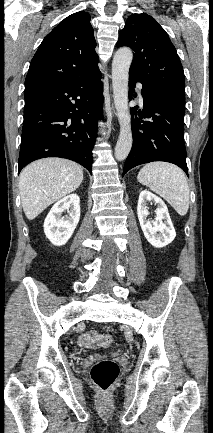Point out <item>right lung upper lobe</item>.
<instances>
[{"label": "right lung upper lobe", "mask_w": 213, "mask_h": 433, "mask_svg": "<svg viewBox=\"0 0 213 433\" xmlns=\"http://www.w3.org/2000/svg\"><path fill=\"white\" fill-rule=\"evenodd\" d=\"M90 15L76 12L58 24L36 51L25 85H62L98 68Z\"/></svg>", "instance_id": "obj_1"}]
</instances>
